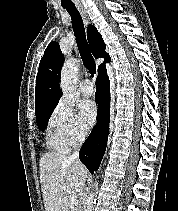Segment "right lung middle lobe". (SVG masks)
Masks as SVG:
<instances>
[{
	"label": "right lung middle lobe",
	"instance_id": "obj_1",
	"mask_svg": "<svg viewBox=\"0 0 178 211\" xmlns=\"http://www.w3.org/2000/svg\"><path fill=\"white\" fill-rule=\"evenodd\" d=\"M55 108V106L48 107L42 111H40L38 114H36V122L38 125V128L44 132V129L46 128L48 124V120L50 117L51 111Z\"/></svg>",
	"mask_w": 178,
	"mask_h": 211
}]
</instances>
